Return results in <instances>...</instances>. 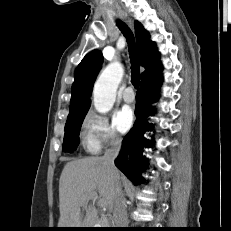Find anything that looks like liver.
<instances>
[{
  "instance_id": "6515ba94",
  "label": "liver",
  "mask_w": 231,
  "mask_h": 231,
  "mask_svg": "<svg viewBox=\"0 0 231 231\" xmlns=\"http://www.w3.org/2000/svg\"><path fill=\"white\" fill-rule=\"evenodd\" d=\"M114 178L120 179L118 170L108 172L101 157H87L68 162L59 180V228H91L98 223V212L88 205L92 194H99L103 208L114 207ZM81 208L86 211L85 216Z\"/></svg>"
}]
</instances>
